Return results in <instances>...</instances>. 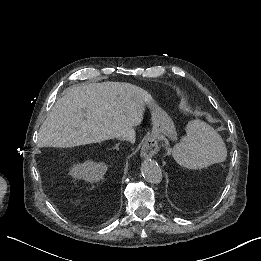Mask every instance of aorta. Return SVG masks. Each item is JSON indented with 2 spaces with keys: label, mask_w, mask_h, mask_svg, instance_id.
I'll return each instance as SVG.
<instances>
[{
  "label": "aorta",
  "mask_w": 261,
  "mask_h": 261,
  "mask_svg": "<svg viewBox=\"0 0 261 261\" xmlns=\"http://www.w3.org/2000/svg\"><path fill=\"white\" fill-rule=\"evenodd\" d=\"M141 173L146 181L158 184L162 181V171L158 163L151 159H146L141 164Z\"/></svg>",
  "instance_id": "1"
}]
</instances>
